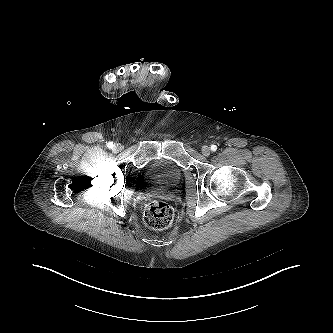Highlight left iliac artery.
Listing matches in <instances>:
<instances>
[{
    "mask_svg": "<svg viewBox=\"0 0 333 333\" xmlns=\"http://www.w3.org/2000/svg\"><path fill=\"white\" fill-rule=\"evenodd\" d=\"M217 150V146L216 145H211V151L215 152Z\"/></svg>",
    "mask_w": 333,
    "mask_h": 333,
    "instance_id": "left-iliac-artery-1",
    "label": "left iliac artery"
}]
</instances>
